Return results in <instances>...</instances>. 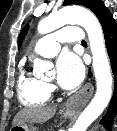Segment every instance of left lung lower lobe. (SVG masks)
<instances>
[{
	"instance_id": "left-lung-lower-lobe-1",
	"label": "left lung lower lobe",
	"mask_w": 117,
	"mask_h": 131,
	"mask_svg": "<svg viewBox=\"0 0 117 131\" xmlns=\"http://www.w3.org/2000/svg\"><path fill=\"white\" fill-rule=\"evenodd\" d=\"M98 20L103 28L104 38L108 55L111 62V68L114 75V93L109 109L101 123L111 126L112 121L117 113V24L110 11L103 7L97 14ZM89 76L91 73L89 72Z\"/></svg>"
}]
</instances>
